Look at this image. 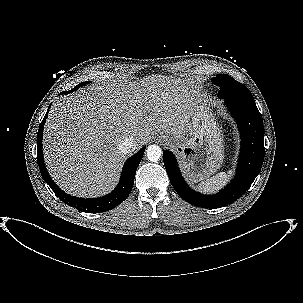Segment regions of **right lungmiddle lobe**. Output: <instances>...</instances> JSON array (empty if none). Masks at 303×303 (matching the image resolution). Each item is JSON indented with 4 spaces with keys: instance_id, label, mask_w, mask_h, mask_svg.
<instances>
[{
    "instance_id": "right-lung-middle-lobe-1",
    "label": "right lung middle lobe",
    "mask_w": 303,
    "mask_h": 303,
    "mask_svg": "<svg viewBox=\"0 0 303 303\" xmlns=\"http://www.w3.org/2000/svg\"><path fill=\"white\" fill-rule=\"evenodd\" d=\"M88 83H90V81L82 82V83L78 84L77 86H75L73 89H71L68 93L75 91V90L79 89V87H82L83 85H86Z\"/></svg>"
}]
</instances>
